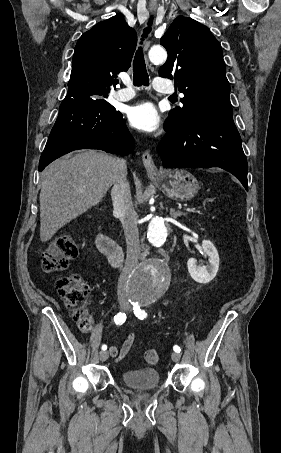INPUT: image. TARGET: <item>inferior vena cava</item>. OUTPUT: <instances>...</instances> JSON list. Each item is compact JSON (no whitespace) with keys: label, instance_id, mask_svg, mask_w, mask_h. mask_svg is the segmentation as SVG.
<instances>
[{"label":"inferior vena cava","instance_id":"inferior-vena-cava-1","mask_svg":"<svg viewBox=\"0 0 281 453\" xmlns=\"http://www.w3.org/2000/svg\"><path fill=\"white\" fill-rule=\"evenodd\" d=\"M119 162V176L112 186L111 196L113 202V212L120 218L122 227L124 229V235L127 243V257L124 265V269L119 277L118 281V299H124L127 301V283L131 277L133 269H135L139 255H140V243L137 227V214L133 208L130 186L127 182V164L126 160L118 158Z\"/></svg>","mask_w":281,"mask_h":453}]
</instances>
